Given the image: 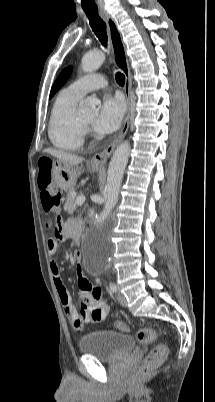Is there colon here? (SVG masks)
<instances>
[{
	"mask_svg": "<svg viewBox=\"0 0 215 402\" xmlns=\"http://www.w3.org/2000/svg\"><path fill=\"white\" fill-rule=\"evenodd\" d=\"M38 174H37V185L40 189V198L43 209L49 213H56L57 208L60 204L61 196L55 190L52 184V174H51V156H38ZM50 225V223H48ZM118 328L122 331H126L128 327L123 322H118ZM158 333L154 329H140L136 338L141 344H148L157 339ZM168 349L164 344H159L153 347V349L146 356L143 365L141 367L140 373L146 375L154 368L158 367L165 359Z\"/></svg>",
	"mask_w": 215,
	"mask_h": 402,
	"instance_id": "obj_1",
	"label": "colon"
}]
</instances>
